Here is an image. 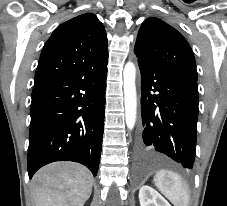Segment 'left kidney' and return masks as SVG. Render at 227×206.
<instances>
[{
  "mask_svg": "<svg viewBox=\"0 0 227 206\" xmlns=\"http://www.w3.org/2000/svg\"><path fill=\"white\" fill-rule=\"evenodd\" d=\"M139 201L140 206H171L162 195L147 185L140 188Z\"/></svg>",
  "mask_w": 227,
  "mask_h": 206,
  "instance_id": "1",
  "label": "left kidney"
}]
</instances>
